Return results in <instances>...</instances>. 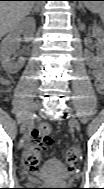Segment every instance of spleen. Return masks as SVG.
Masks as SVG:
<instances>
[{"mask_svg": "<svg viewBox=\"0 0 104 189\" xmlns=\"http://www.w3.org/2000/svg\"><path fill=\"white\" fill-rule=\"evenodd\" d=\"M84 4L91 12L94 13H98L103 10L102 1H86Z\"/></svg>", "mask_w": 104, "mask_h": 189, "instance_id": "spleen-1", "label": "spleen"}]
</instances>
